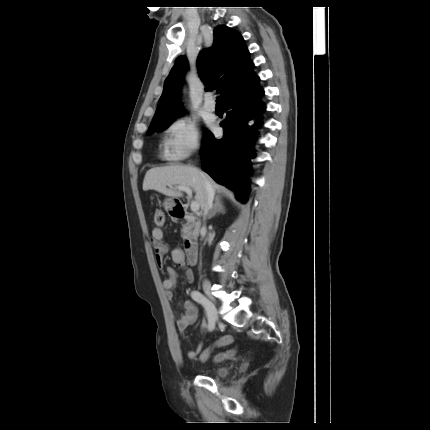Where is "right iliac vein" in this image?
<instances>
[{
  "label": "right iliac vein",
  "mask_w": 430,
  "mask_h": 430,
  "mask_svg": "<svg viewBox=\"0 0 430 430\" xmlns=\"http://www.w3.org/2000/svg\"><path fill=\"white\" fill-rule=\"evenodd\" d=\"M203 290L206 293V295L208 297H210V299H212L211 286H210V283H209L208 280H205L203 282ZM209 310H210L211 314L213 315L214 319H217V317H218L217 316V308H216L215 304L212 301H210V303H209Z\"/></svg>",
  "instance_id": "right-iliac-vein-1"
}]
</instances>
